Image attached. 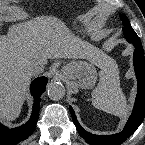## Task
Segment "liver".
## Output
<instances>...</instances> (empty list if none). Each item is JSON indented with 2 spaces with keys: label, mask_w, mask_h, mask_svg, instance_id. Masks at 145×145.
<instances>
[{
  "label": "liver",
  "mask_w": 145,
  "mask_h": 145,
  "mask_svg": "<svg viewBox=\"0 0 145 145\" xmlns=\"http://www.w3.org/2000/svg\"><path fill=\"white\" fill-rule=\"evenodd\" d=\"M47 59H87L102 70L116 66L98 51L67 34L56 19L38 18L13 27L0 38V118L9 123L20 113L30 74L26 66ZM104 66V67H103ZM117 71V70H116Z\"/></svg>",
  "instance_id": "6515ba94"
}]
</instances>
